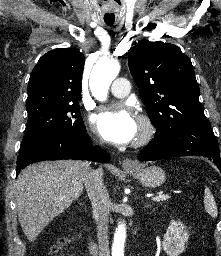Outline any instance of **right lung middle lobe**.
<instances>
[{
  "label": "right lung middle lobe",
  "mask_w": 221,
  "mask_h": 256,
  "mask_svg": "<svg viewBox=\"0 0 221 256\" xmlns=\"http://www.w3.org/2000/svg\"><path fill=\"white\" fill-rule=\"evenodd\" d=\"M28 111V122L21 146L56 132L86 131L79 104H42Z\"/></svg>",
  "instance_id": "right-lung-middle-lobe-1"
}]
</instances>
